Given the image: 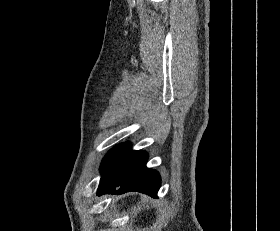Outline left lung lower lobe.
Instances as JSON below:
<instances>
[{
  "mask_svg": "<svg viewBox=\"0 0 280 231\" xmlns=\"http://www.w3.org/2000/svg\"><path fill=\"white\" fill-rule=\"evenodd\" d=\"M147 159L146 152L131 150L130 143L115 146L101 163L97 195L139 191L157 198L160 177L156 171L146 168ZM117 187H120L118 191Z\"/></svg>",
  "mask_w": 280,
  "mask_h": 231,
  "instance_id": "0a47b994",
  "label": "left lung lower lobe"
}]
</instances>
